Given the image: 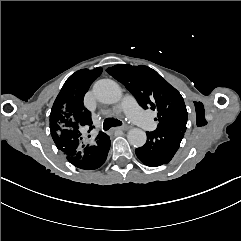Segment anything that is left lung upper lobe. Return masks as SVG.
I'll list each match as a JSON object with an SVG mask.
<instances>
[{
  "label": "left lung upper lobe",
  "instance_id": "left-lung-upper-lobe-1",
  "mask_svg": "<svg viewBox=\"0 0 241 241\" xmlns=\"http://www.w3.org/2000/svg\"><path fill=\"white\" fill-rule=\"evenodd\" d=\"M134 95L144 109L158 112V127L181 126L187 110L181 94L150 67L115 65L106 70Z\"/></svg>",
  "mask_w": 241,
  "mask_h": 241
}]
</instances>
